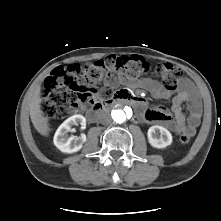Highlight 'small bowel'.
Segmentation results:
<instances>
[{
  "instance_id": "c3829d8e",
  "label": "small bowel",
  "mask_w": 221,
  "mask_h": 221,
  "mask_svg": "<svg viewBox=\"0 0 221 221\" xmlns=\"http://www.w3.org/2000/svg\"><path fill=\"white\" fill-rule=\"evenodd\" d=\"M121 84L133 87L143 86L154 97L160 99H168L174 94L172 90H167L155 80H130L121 72L112 73L106 77V85L108 87H115ZM96 99H98V94L95 96ZM183 103L187 104L188 116L182 111ZM171 111L173 115L164 107L145 108L141 117L147 122L164 124L176 134L189 133L193 136L200 124L202 103L197 90L188 79L181 81L176 94L173 96Z\"/></svg>"
}]
</instances>
